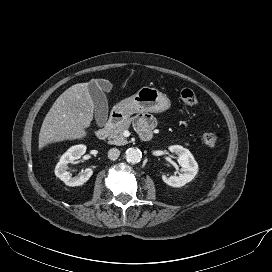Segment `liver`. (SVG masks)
Here are the masks:
<instances>
[{
	"label": "liver",
	"mask_w": 272,
	"mask_h": 272,
	"mask_svg": "<svg viewBox=\"0 0 272 272\" xmlns=\"http://www.w3.org/2000/svg\"><path fill=\"white\" fill-rule=\"evenodd\" d=\"M94 103L88 83H77L65 90L45 116L40 133L39 149L48 144L86 137L93 120Z\"/></svg>",
	"instance_id": "1"
}]
</instances>
